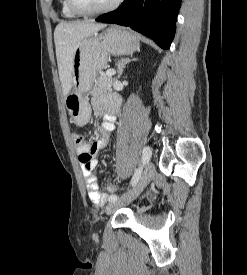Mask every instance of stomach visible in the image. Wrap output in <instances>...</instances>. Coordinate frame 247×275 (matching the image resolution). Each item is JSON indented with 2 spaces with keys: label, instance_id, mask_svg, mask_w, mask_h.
Instances as JSON below:
<instances>
[{
  "label": "stomach",
  "instance_id": "1",
  "mask_svg": "<svg viewBox=\"0 0 247 275\" xmlns=\"http://www.w3.org/2000/svg\"><path fill=\"white\" fill-rule=\"evenodd\" d=\"M140 47L137 38L120 27H110L100 35L82 39L76 47L73 58L72 90L65 97L66 108L79 126L88 123L91 110L85 93L92 89L95 78L106 68L108 56L131 55Z\"/></svg>",
  "mask_w": 247,
  "mask_h": 275
}]
</instances>
